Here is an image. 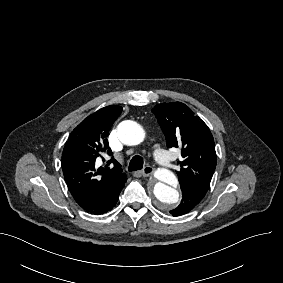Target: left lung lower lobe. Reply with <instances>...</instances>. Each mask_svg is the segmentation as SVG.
Here are the masks:
<instances>
[{
  "instance_id": "obj_1",
  "label": "left lung lower lobe",
  "mask_w": 283,
  "mask_h": 283,
  "mask_svg": "<svg viewBox=\"0 0 283 283\" xmlns=\"http://www.w3.org/2000/svg\"><path fill=\"white\" fill-rule=\"evenodd\" d=\"M183 199L180 205L171 210L173 216H180L192 210L205 196L206 190L191 184L180 185Z\"/></svg>"
}]
</instances>
